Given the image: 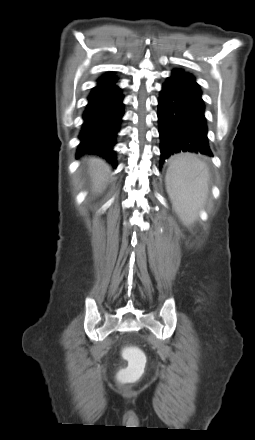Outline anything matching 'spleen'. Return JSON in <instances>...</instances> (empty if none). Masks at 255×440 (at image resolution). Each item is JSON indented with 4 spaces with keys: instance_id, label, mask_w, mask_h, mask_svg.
I'll return each instance as SVG.
<instances>
[{
    "instance_id": "1",
    "label": "spleen",
    "mask_w": 255,
    "mask_h": 440,
    "mask_svg": "<svg viewBox=\"0 0 255 440\" xmlns=\"http://www.w3.org/2000/svg\"><path fill=\"white\" fill-rule=\"evenodd\" d=\"M209 171L207 165L193 154L170 158L166 175L167 192L184 224H192L206 198Z\"/></svg>"
}]
</instances>
